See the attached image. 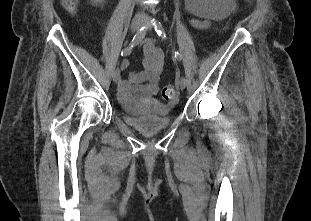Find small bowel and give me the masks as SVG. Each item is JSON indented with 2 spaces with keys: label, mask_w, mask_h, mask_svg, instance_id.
I'll use <instances>...</instances> for the list:
<instances>
[{
  "label": "small bowel",
  "mask_w": 311,
  "mask_h": 221,
  "mask_svg": "<svg viewBox=\"0 0 311 221\" xmlns=\"http://www.w3.org/2000/svg\"><path fill=\"white\" fill-rule=\"evenodd\" d=\"M190 24L198 29H207L210 25L209 19L192 18ZM144 59L140 70L132 71L127 79L120 82L119 90L123 99H127L130 90L135 88L141 95L151 97L158 92L160 74L164 67V51L155 46L151 39L142 43Z\"/></svg>",
  "instance_id": "1"
}]
</instances>
